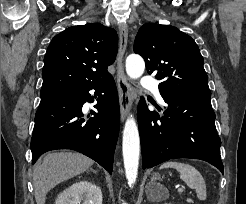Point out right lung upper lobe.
Here are the masks:
<instances>
[{
    "instance_id": "right-lung-upper-lobe-1",
    "label": "right lung upper lobe",
    "mask_w": 246,
    "mask_h": 204,
    "mask_svg": "<svg viewBox=\"0 0 246 204\" xmlns=\"http://www.w3.org/2000/svg\"><path fill=\"white\" fill-rule=\"evenodd\" d=\"M118 36L100 23L69 27L56 35L44 57L41 92L111 78L107 67L117 55Z\"/></svg>"
}]
</instances>
